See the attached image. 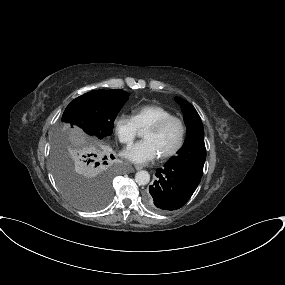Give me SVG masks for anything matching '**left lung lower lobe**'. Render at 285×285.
Returning a JSON list of instances; mask_svg holds the SVG:
<instances>
[{
  "instance_id": "left-lung-lower-lobe-1",
  "label": "left lung lower lobe",
  "mask_w": 285,
  "mask_h": 285,
  "mask_svg": "<svg viewBox=\"0 0 285 285\" xmlns=\"http://www.w3.org/2000/svg\"><path fill=\"white\" fill-rule=\"evenodd\" d=\"M155 175L158 180L149 186L145 203L149 209L162 213L181 208L201 181V177L167 164L157 169Z\"/></svg>"
}]
</instances>
